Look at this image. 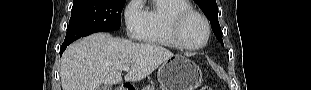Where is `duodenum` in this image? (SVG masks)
Here are the masks:
<instances>
[{"instance_id":"1","label":"duodenum","mask_w":311,"mask_h":90,"mask_svg":"<svg viewBox=\"0 0 311 90\" xmlns=\"http://www.w3.org/2000/svg\"><path fill=\"white\" fill-rule=\"evenodd\" d=\"M120 90H131V89L128 88V87H123V88H121Z\"/></svg>"}]
</instances>
